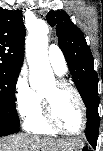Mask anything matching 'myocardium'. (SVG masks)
Listing matches in <instances>:
<instances>
[{"label":"myocardium","mask_w":103,"mask_h":151,"mask_svg":"<svg viewBox=\"0 0 103 151\" xmlns=\"http://www.w3.org/2000/svg\"><path fill=\"white\" fill-rule=\"evenodd\" d=\"M55 85L58 89H67L74 93V95L76 96V98L80 104L81 110H82L83 123H82L81 128L77 131H70V130L65 129L64 127L60 126L54 116L52 99L42 93L41 100H42V106H43V117H44L46 124L52 130L59 132V133L68 134V135L82 134L86 130L87 125H88V112H87V106L85 104V101H84L81 93L78 91V89L75 86H73L72 84H70L68 81H66L64 79H57L55 81Z\"/></svg>","instance_id":"obj_1"}]
</instances>
